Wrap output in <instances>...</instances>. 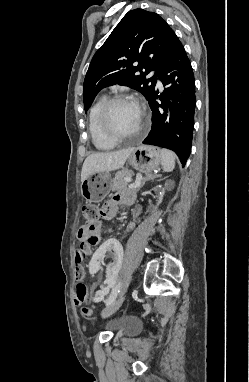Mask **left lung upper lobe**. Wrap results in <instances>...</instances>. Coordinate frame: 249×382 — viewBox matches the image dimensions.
<instances>
[{"instance_id": "1", "label": "left lung upper lobe", "mask_w": 249, "mask_h": 382, "mask_svg": "<svg viewBox=\"0 0 249 382\" xmlns=\"http://www.w3.org/2000/svg\"><path fill=\"white\" fill-rule=\"evenodd\" d=\"M177 39L158 14L143 9L129 11L92 58L84 80L85 111L102 88L114 84L133 88L148 99ZM152 70L156 74L146 79Z\"/></svg>"}]
</instances>
